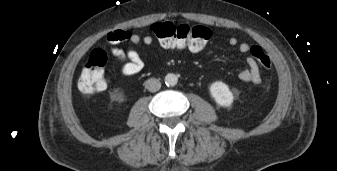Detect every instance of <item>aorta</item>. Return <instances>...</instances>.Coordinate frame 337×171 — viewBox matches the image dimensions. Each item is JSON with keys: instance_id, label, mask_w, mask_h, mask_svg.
Here are the masks:
<instances>
[{"instance_id": "1", "label": "aorta", "mask_w": 337, "mask_h": 171, "mask_svg": "<svg viewBox=\"0 0 337 171\" xmlns=\"http://www.w3.org/2000/svg\"><path fill=\"white\" fill-rule=\"evenodd\" d=\"M164 80L167 86H175L178 82V77L173 73H169L165 76Z\"/></svg>"}]
</instances>
